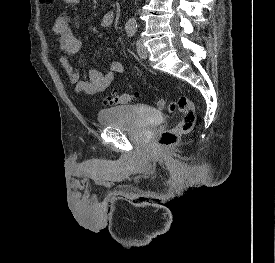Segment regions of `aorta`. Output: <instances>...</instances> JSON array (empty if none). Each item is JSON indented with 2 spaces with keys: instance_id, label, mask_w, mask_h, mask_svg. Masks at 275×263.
<instances>
[{
  "instance_id": "1",
  "label": "aorta",
  "mask_w": 275,
  "mask_h": 263,
  "mask_svg": "<svg viewBox=\"0 0 275 263\" xmlns=\"http://www.w3.org/2000/svg\"><path fill=\"white\" fill-rule=\"evenodd\" d=\"M136 26H137V23H136L135 18H130L126 23V27L128 29H134Z\"/></svg>"
}]
</instances>
